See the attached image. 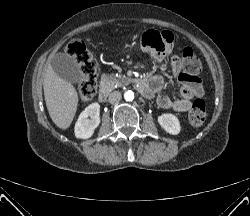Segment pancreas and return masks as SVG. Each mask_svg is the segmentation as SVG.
Segmentation results:
<instances>
[{
  "mask_svg": "<svg viewBox=\"0 0 250 216\" xmlns=\"http://www.w3.org/2000/svg\"><path fill=\"white\" fill-rule=\"evenodd\" d=\"M130 79L126 76H115L114 74L111 75H104L101 79V85L108 90H113L116 87H120L123 85L129 84Z\"/></svg>",
  "mask_w": 250,
  "mask_h": 216,
  "instance_id": "obj_1",
  "label": "pancreas"
}]
</instances>
